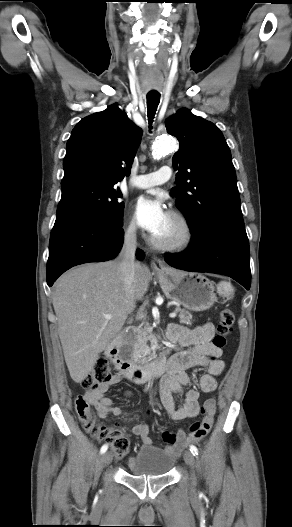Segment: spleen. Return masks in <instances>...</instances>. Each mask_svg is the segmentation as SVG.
Listing matches in <instances>:
<instances>
[{
	"mask_svg": "<svg viewBox=\"0 0 292 527\" xmlns=\"http://www.w3.org/2000/svg\"><path fill=\"white\" fill-rule=\"evenodd\" d=\"M217 292L220 296L230 299L234 295V287L230 282L220 281L217 285Z\"/></svg>",
	"mask_w": 292,
	"mask_h": 527,
	"instance_id": "spleen-1",
	"label": "spleen"
}]
</instances>
